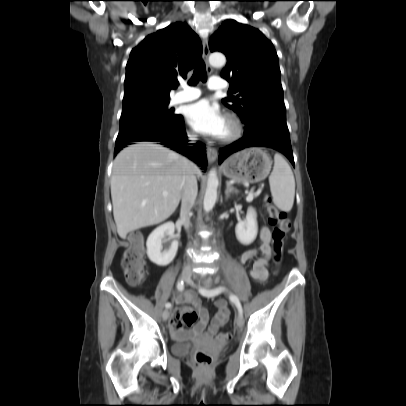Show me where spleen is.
Returning a JSON list of instances; mask_svg holds the SVG:
<instances>
[{
	"label": "spleen",
	"instance_id": "obj_1",
	"mask_svg": "<svg viewBox=\"0 0 406 406\" xmlns=\"http://www.w3.org/2000/svg\"><path fill=\"white\" fill-rule=\"evenodd\" d=\"M269 184L274 204L280 210L289 212L294 203L295 179L290 166L280 154L274 156Z\"/></svg>",
	"mask_w": 406,
	"mask_h": 406
}]
</instances>
